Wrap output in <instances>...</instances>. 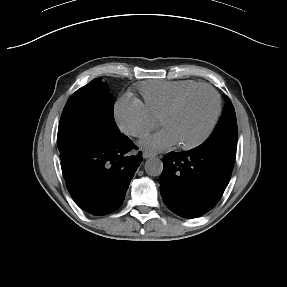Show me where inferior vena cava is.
<instances>
[{
  "instance_id": "inferior-vena-cava-1",
  "label": "inferior vena cava",
  "mask_w": 287,
  "mask_h": 287,
  "mask_svg": "<svg viewBox=\"0 0 287 287\" xmlns=\"http://www.w3.org/2000/svg\"><path fill=\"white\" fill-rule=\"evenodd\" d=\"M131 134H133V135H137V134H139V131H138V130H136V129H134V130H132V131H131Z\"/></svg>"
}]
</instances>
